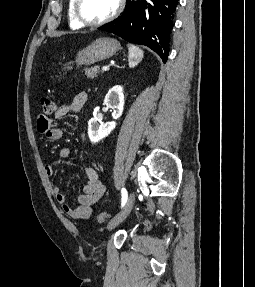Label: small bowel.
<instances>
[{
    "label": "small bowel",
    "mask_w": 255,
    "mask_h": 287,
    "mask_svg": "<svg viewBox=\"0 0 255 287\" xmlns=\"http://www.w3.org/2000/svg\"><path fill=\"white\" fill-rule=\"evenodd\" d=\"M87 95L84 92L78 93L69 104L61 105L57 108L53 118L40 115L37 119L38 131L42 133L49 141H58L63 136V131L54 125V121L59 120L66 115L79 111L86 103ZM69 147H63L59 150L58 156L61 159L70 157ZM45 172L48 176L55 174V168L52 164L45 166ZM85 182L82 186V194L77 197V205L68 204V196L63 192L61 186H53V195L56 202L61 206L62 212L73 220L87 219L91 216L93 206L100 200L105 193V187L101 183L98 172L92 167H86L84 170Z\"/></svg>",
    "instance_id": "small-bowel-1"
}]
</instances>
